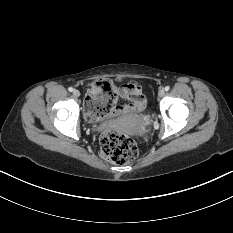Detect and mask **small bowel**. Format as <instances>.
Returning a JSON list of instances; mask_svg holds the SVG:
<instances>
[{"label":"small bowel","mask_w":233,"mask_h":233,"mask_svg":"<svg viewBox=\"0 0 233 233\" xmlns=\"http://www.w3.org/2000/svg\"><path fill=\"white\" fill-rule=\"evenodd\" d=\"M115 90L117 97L127 99L129 103L117 105L114 114H127L142 111L145 108L146 102L142 95V89L137 82L130 81L119 88H115ZM86 115L88 116L87 112Z\"/></svg>","instance_id":"1"}]
</instances>
